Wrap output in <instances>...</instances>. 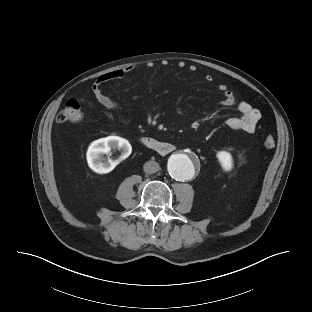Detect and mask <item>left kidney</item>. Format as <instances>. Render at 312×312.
I'll list each match as a JSON object with an SVG mask.
<instances>
[{
  "label": "left kidney",
  "mask_w": 312,
  "mask_h": 312,
  "mask_svg": "<svg viewBox=\"0 0 312 312\" xmlns=\"http://www.w3.org/2000/svg\"><path fill=\"white\" fill-rule=\"evenodd\" d=\"M217 158L224 171H230L233 168V160L229 152L219 151L217 153Z\"/></svg>",
  "instance_id": "obj_1"
}]
</instances>
